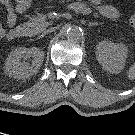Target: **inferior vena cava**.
Listing matches in <instances>:
<instances>
[{
    "label": "inferior vena cava",
    "instance_id": "1",
    "mask_svg": "<svg viewBox=\"0 0 135 135\" xmlns=\"http://www.w3.org/2000/svg\"><path fill=\"white\" fill-rule=\"evenodd\" d=\"M55 30V28H50L46 31L43 32V35L47 34V33H50V32H53Z\"/></svg>",
    "mask_w": 135,
    "mask_h": 135
}]
</instances>
